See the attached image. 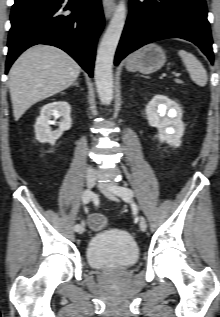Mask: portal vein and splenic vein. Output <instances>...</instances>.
Segmentation results:
<instances>
[{"mask_svg": "<svg viewBox=\"0 0 220 317\" xmlns=\"http://www.w3.org/2000/svg\"><path fill=\"white\" fill-rule=\"evenodd\" d=\"M173 74H174V76L177 77V78L180 76L179 73H173Z\"/></svg>", "mask_w": 220, "mask_h": 317, "instance_id": "obj_1", "label": "portal vein and splenic vein"}]
</instances>
